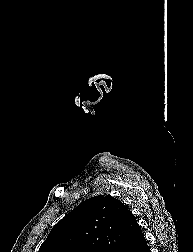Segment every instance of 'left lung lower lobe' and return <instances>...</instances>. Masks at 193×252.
I'll list each match as a JSON object with an SVG mask.
<instances>
[{"instance_id":"left-lung-lower-lobe-1","label":"left lung lower lobe","mask_w":193,"mask_h":252,"mask_svg":"<svg viewBox=\"0 0 193 252\" xmlns=\"http://www.w3.org/2000/svg\"><path fill=\"white\" fill-rule=\"evenodd\" d=\"M123 252H151L139 225L135 229Z\"/></svg>"}]
</instances>
